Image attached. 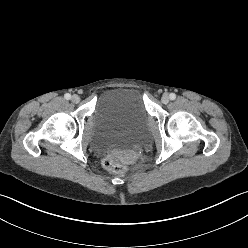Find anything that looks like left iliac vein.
Masks as SVG:
<instances>
[{
  "label": "left iliac vein",
  "instance_id": "4c4485c4",
  "mask_svg": "<svg viewBox=\"0 0 248 248\" xmlns=\"http://www.w3.org/2000/svg\"><path fill=\"white\" fill-rule=\"evenodd\" d=\"M169 95L167 93L163 94L162 98H161V101L162 103L164 104H167L169 102Z\"/></svg>",
  "mask_w": 248,
  "mask_h": 248
}]
</instances>
